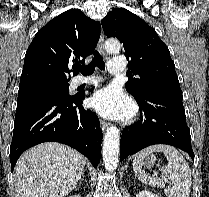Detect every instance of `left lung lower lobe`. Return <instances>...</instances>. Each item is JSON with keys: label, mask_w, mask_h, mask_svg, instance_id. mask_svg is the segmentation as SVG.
Here are the masks:
<instances>
[{"label": "left lung lower lobe", "mask_w": 209, "mask_h": 197, "mask_svg": "<svg viewBox=\"0 0 209 197\" xmlns=\"http://www.w3.org/2000/svg\"><path fill=\"white\" fill-rule=\"evenodd\" d=\"M182 100V92H159L136 99L140 120L123 129L120 161L154 144L173 145L186 151L194 160Z\"/></svg>", "instance_id": "1"}]
</instances>
